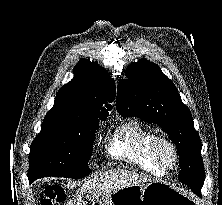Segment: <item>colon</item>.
<instances>
[{
  "mask_svg": "<svg viewBox=\"0 0 222 205\" xmlns=\"http://www.w3.org/2000/svg\"><path fill=\"white\" fill-rule=\"evenodd\" d=\"M64 200L63 188L59 185L46 187L41 205H59Z\"/></svg>",
  "mask_w": 222,
  "mask_h": 205,
  "instance_id": "obj_1",
  "label": "colon"
}]
</instances>
